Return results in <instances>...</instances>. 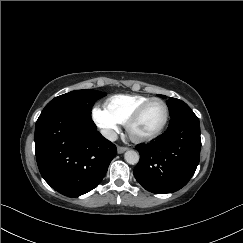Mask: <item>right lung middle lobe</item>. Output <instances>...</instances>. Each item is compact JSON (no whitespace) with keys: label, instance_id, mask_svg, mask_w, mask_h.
<instances>
[{"label":"right lung middle lobe","instance_id":"1","mask_svg":"<svg viewBox=\"0 0 243 243\" xmlns=\"http://www.w3.org/2000/svg\"><path fill=\"white\" fill-rule=\"evenodd\" d=\"M105 95L106 93L96 90H76L60 95L45 106L39 118L52 113H71L91 118L92 106Z\"/></svg>","mask_w":243,"mask_h":243}]
</instances>
